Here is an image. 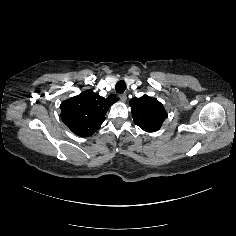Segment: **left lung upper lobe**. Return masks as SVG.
I'll use <instances>...</instances> for the list:
<instances>
[{
  "label": "left lung upper lobe",
  "mask_w": 236,
  "mask_h": 236,
  "mask_svg": "<svg viewBox=\"0 0 236 236\" xmlns=\"http://www.w3.org/2000/svg\"><path fill=\"white\" fill-rule=\"evenodd\" d=\"M134 122L146 132H155L161 128L167 117L163 105L156 99L144 95L130 100Z\"/></svg>",
  "instance_id": "left-lung-upper-lobe-1"
}]
</instances>
